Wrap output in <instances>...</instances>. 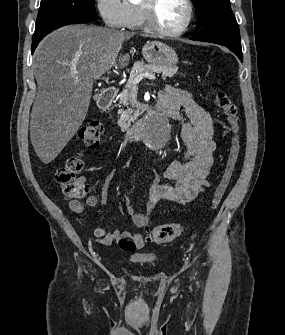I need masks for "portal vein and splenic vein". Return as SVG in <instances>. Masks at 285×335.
<instances>
[{
    "label": "portal vein and splenic vein",
    "instance_id": "obj_1",
    "mask_svg": "<svg viewBox=\"0 0 285 335\" xmlns=\"http://www.w3.org/2000/svg\"><path fill=\"white\" fill-rule=\"evenodd\" d=\"M154 72H160V70H154ZM143 78H148V80H156L155 76L153 74H148V72H145V74H138L136 78H134L132 84H139Z\"/></svg>",
    "mask_w": 285,
    "mask_h": 335
}]
</instances>
